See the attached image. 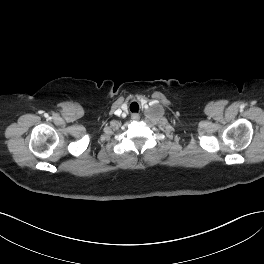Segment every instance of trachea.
Segmentation results:
<instances>
[{"label": "trachea", "instance_id": "3493384b", "mask_svg": "<svg viewBox=\"0 0 264 264\" xmlns=\"http://www.w3.org/2000/svg\"><path fill=\"white\" fill-rule=\"evenodd\" d=\"M138 109H139V105L136 102L131 103L130 110L132 112H138Z\"/></svg>", "mask_w": 264, "mask_h": 264}]
</instances>
